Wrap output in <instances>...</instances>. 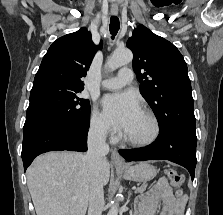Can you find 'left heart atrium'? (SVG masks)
I'll use <instances>...</instances> for the list:
<instances>
[{"instance_id":"left-heart-atrium-1","label":"left heart atrium","mask_w":223,"mask_h":215,"mask_svg":"<svg viewBox=\"0 0 223 215\" xmlns=\"http://www.w3.org/2000/svg\"><path fill=\"white\" fill-rule=\"evenodd\" d=\"M102 107L105 117L119 129H125L140 111L138 97L133 92L106 95Z\"/></svg>"}]
</instances>
